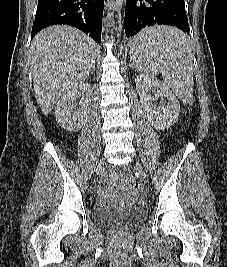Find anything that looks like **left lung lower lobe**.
I'll use <instances>...</instances> for the list:
<instances>
[{
	"label": "left lung lower lobe",
	"instance_id": "1",
	"mask_svg": "<svg viewBox=\"0 0 227 267\" xmlns=\"http://www.w3.org/2000/svg\"><path fill=\"white\" fill-rule=\"evenodd\" d=\"M175 26L189 35V24L185 12L184 0H126L125 33L135 36L142 28L152 25ZM138 42L137 36L132 44ZM174 42H160L161 47H170Z\"/></svg>",
	"mask_w": 227,
	"mask_h": 267
}]
</instances>
